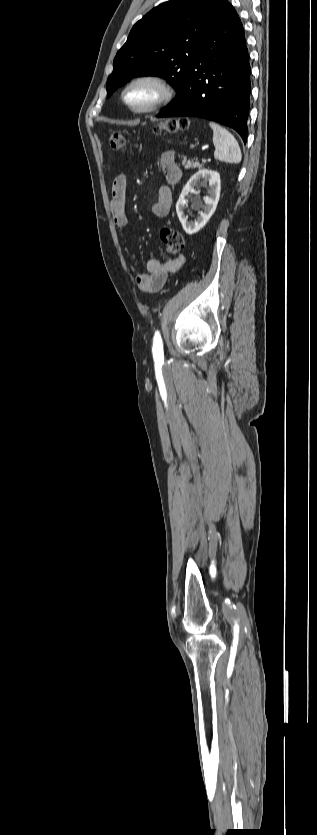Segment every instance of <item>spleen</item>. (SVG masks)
<instances>
[{
	"label": "spleen",
	"instance_id": "3e777b00",
	"mask_svg": "<svg viewBox=\"0 0 317 835\" xmlns=\"http://www.w3.org/2000/svg\"><path fill=\"white\" fill-rule=\"evenodd\" d=\"M209 126L213 130L214 157L217 160L231 164L240 163L242 154L234 136L227 129L215 122H210Z\"/></svg>",
	"mask_w": 317,
	"mask_h": 835
}]
</instances>
